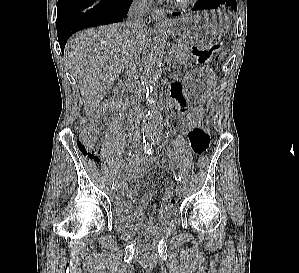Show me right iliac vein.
I'll use <instances>...</instances> for the list:
<instances>
[{
  "mask_svg": "<svg viewBox=\"0 0 299 273\" xmlns=\"http://www.w3.org/2000/svg\"><path fill=\"white\" fill-rule=\"evenodd\" d=\"M138 146V143L137 142H131L130 143V149H134V148H136ZM111 194H113V191L111 190V192H110Z\"/></svg>",
  "mask_w": 299,
  "mask_h": 273,
  "instance_id": "right-iliac-vein-1",
  "label": "right iliac vein"
}]
</instances>
